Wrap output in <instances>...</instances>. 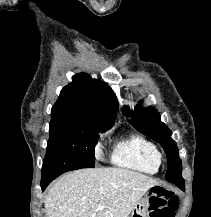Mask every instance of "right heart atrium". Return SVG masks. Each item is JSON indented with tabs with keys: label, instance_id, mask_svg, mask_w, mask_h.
<instances>
[{
	"label": "right heart atrium",
	"instance_id": "right-heart-atrium-1",
	"mask_svg": "<svg viewBox=\"0 0 211 217\" xmlns=\"http://www.w3.org/2000/svg\"><path fill=\"white\" fill-rule=\"evenodd\" d=\"M102 141H103V136L101 135L100 138L98 139L97 143H96V146H95V150H96L97 154H99L101 152Z\"/></svg>",
	"mask_w": 211,
	"mask_h": 217
}]
</instances>
